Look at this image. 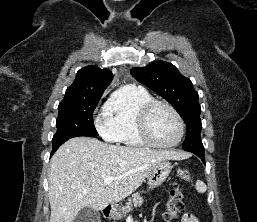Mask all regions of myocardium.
Instances as JSON below:
<instances>
[{
	"mask_svg": "<svg viewBox=\"0 0 257 222\" xmlns=\"http://www.w3.org/2000/svg\"><path fill=\"white\" fill-rule=\"evenodd\" d=\"M158 106H163L167 108L169 111H171V113L174 115V117L177 120L179 133H178L177 139L172 143H168V144L159 143L153 138L151 134L150 127H149V119L153 110ZM137 125H138V131L141 139L148 146L155 147V148H161V149L174 148L181 143L185 133V124L181 114L172 104L162 100L152 99L151 101L147 102L139 112Z\"/></svg>",
	"mask_w": 257,
	"mask_h": 222,
	"instance_id": "myocardium-1",
	"label": "myocardium"
}]
</instances>
